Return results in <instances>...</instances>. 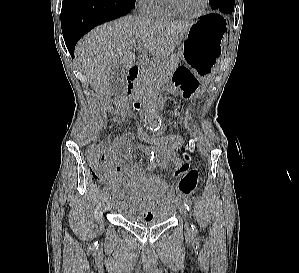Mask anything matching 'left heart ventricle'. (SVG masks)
I'll list each match as a JSON object with an SVG mask.
<instances>
[{
    "instance_id": "1",
    "label": "left heart ventricle",
    "mask_w": 299,
    "mask_h": 273,
    "mask_svg": "<svg viewBox=\"0 0 299 273\" xmlns=\"http://www.w3.org/2000/svg\"><path fill=\"white\" fill-rule=\"evenodd\" d=\"M178 6L188 13L197 12L202 4L203 0H176Z\"/></svg>"
}]
</instances>
